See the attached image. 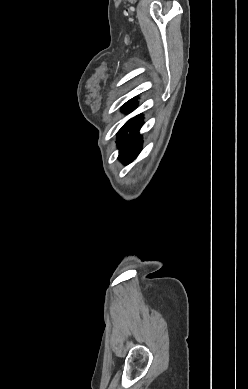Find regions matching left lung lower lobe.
Instances as JSON below:
<instances>
[{"label": "left lung lower lobe", "instance_id": "obj_1", "mask_svg": "<svg viewBox=\"0 0 248 389\" xmlns=\"http://www.w3.org/2000/svg\"><path fill=\"white\" fill-rule=\"evenodd\" d=\"M136 107V100L131 99L122 106V109L124 112H131ZM142 123V116H135L130 119L118 133L117 143L120 149L119 159L125 164L131 163L141 150L142 140L139 135V129Z\"/></svg>", "mask_w": 248, "mask_h": 389}]
</instances>
